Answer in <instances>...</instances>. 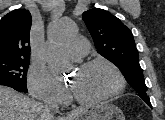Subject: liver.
<instances>
[{
    "label": "liver",
    "instance_id": "obj_1",
    "mask_svg": "<svg viewBox=\"0 0 165 120\" xmlns=\"http://www.w3.org/2000/svg\"><path fill=\"white\" fill-rule=\"evenodd\" d=\"M85 109H78L67 117H58L57 120H74ZM45 106L17 91L0 86V120H45ZM54 120V119H53Z\"/></svg>",
    "mask_w": 165,
    "mask_h": 120
}]
</instances>
